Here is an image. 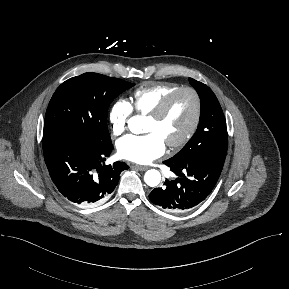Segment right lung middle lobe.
I'll return each instance as SVG.
<instances>
[{
	"label": "right lung middle lobe",
	"mask_w": 289,
	"mask_h": 289,
	"mask_svg": "<svg viewBox=\"0 0 289 289\" xmlns=\"http://www.w3.org/2000/svg\"><path fill=\"white\" fill-rule=\"evenodd\" d=\"M134 84L97 73L62 83L52 96L44 121L43 149L68 140L91 146L111 144L107 108Z\"/></svg>",
	"instance_id": "1"
}]
</instances>
